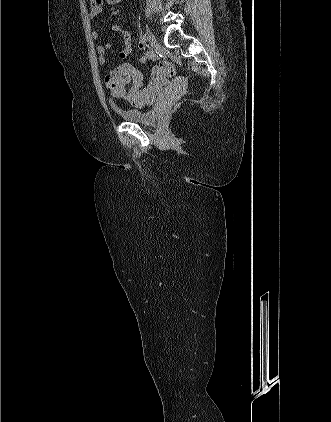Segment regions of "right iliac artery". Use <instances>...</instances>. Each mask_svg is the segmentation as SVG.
I'll return each mask as SVG.
<instances>
[{"label": "right iliac artery", "instance_id": "right-iliac-artery-1", "mask_svg": "<svg viewBox=\"0 0 331 422\" xmlns=\"http://www.w3.org/2000/svg\"><path fill=\"white\" fill-rule=\"evenodd\" d=\"M141 40L143 42H147L148 41L147 36L146 35L141 36Z\"/></svg>", "mask_w": 331, "mask_h": 422}]
</instances>
